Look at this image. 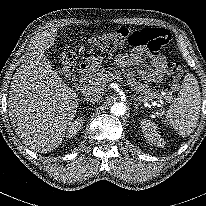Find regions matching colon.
<instances>
[{
    "instance_id": "colon-1",
    "label": "colon",
    "mask_w": 206,
    "mask_h": 206,
    "mask_svg": "<svg viewBox=\"0 0 206 206\" xmlns=\"http://www.w3.org/2000/svg\"><path fill=\"white\" fill-rule=\"evenodd\" d=\"M171 35L165 29L148 28L131 33L127 28H119L113 33L98 36L93 42L104 48H115L125 43L132 46H147L151 53H157L170 41ZM62 69L70 80H76V66L72 54L65 52L62 57ZM184 66L180 61H170L167 65L169 81L178 83Z\"/></svg>"
}]
</instances>
